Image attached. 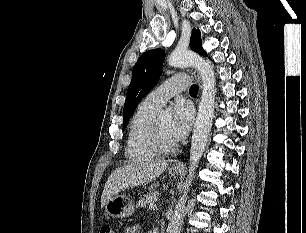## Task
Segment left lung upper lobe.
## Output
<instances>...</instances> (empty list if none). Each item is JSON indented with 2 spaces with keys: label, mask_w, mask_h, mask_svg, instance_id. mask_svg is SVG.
Wrapping results in <instances>:
<instances>
[{
  "label": "left lung upper lobe",
  "mask_w": 306,
  "mask_h": 233,
  "mask_svg": "<svg viewBox=\"0 0 306 233\" xmlns=\"http://www.w3.org/2000/svg\"><path fill=\"white\" fill-rule=\"evenodd\" d=\"M190 47L200 55L207 56L202 48L200 31L193 29ZM165 52L162 49L143 53L132 70V81L128 87L123 109V129L141 99L156 85L162 73Z\"/></svg>",
  "instance_id": "1"
}]
</instances>
